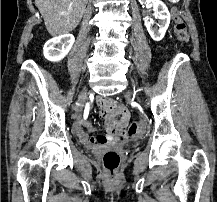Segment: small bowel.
<instances>
[{"label": "small bowel", "instance_id": "small-bowel-1", "mask_svg": "<svg viewBox=\"0 0 217 202\" xmlns=\"http://www.w3.org/2000/svg\"><path fill=\"white\" fill-rule=\"evenodd\" d=\"M97 105L98 109H101L100 118L107 121V134L90 137L89 134L93 132V126L88 122L79 121L74 128V132L84 145L96 148L98 144L124 142L128 137L133 136L128 130L130 113L123 108V104H118L117 101H98ZM117 113L121 115L119 120L114 118L117 117Z\"/></svg>", "mask_w": 217, "mask_h": 202}]
</instances>
